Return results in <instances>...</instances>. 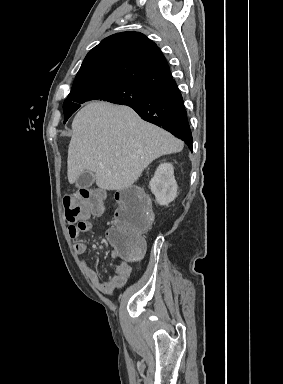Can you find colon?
Masks as SVG:
<instances>
[{"mask_svg": "<svg viewBox=\"0 0 283 384\" xmlns=\"http://www.w3.org/2000/svg\"><path fill=\"white\" fill-rule=\"evenodd\" d=\"M116 195L117 208L108 238L120 259L135 261L144 255V233L152 224V213L139 189L128 187ZM105 202L106 194L100 190L81 188L66 194L63 198L66 223L76 226L88 215L102 213Z\"/></svg>", "mask_w": 283, "mask_h": 384, "instance_id": "5ec220e1", "label": "colon"}]
</instances>
